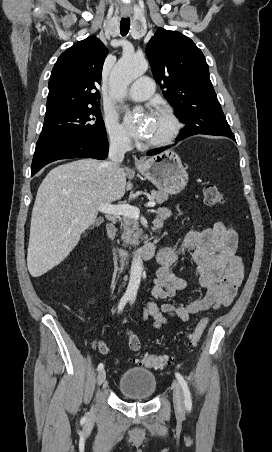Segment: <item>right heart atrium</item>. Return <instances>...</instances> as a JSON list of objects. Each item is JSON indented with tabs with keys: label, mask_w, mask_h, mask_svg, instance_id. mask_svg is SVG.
<instances>
[{
	"label": "right heart atrium",
	"mask_w": 272,
	"mask_h": 452,
	"mask_svg": "<svg viewBox=\"0 0 272 452\" xmlns=\"http://www.w3.org/2000/svg\"><path fill=\"white\" fill-rule=\"evenodd\" d=\"M104 125L107 136L113 145L121 148H127L130 146V136L127 130L117 121L116 118L106 116L104 118Z\"/></svg>",
	"instance_id": "obj_1"
}]
</instances>
